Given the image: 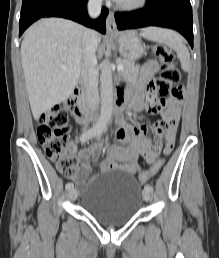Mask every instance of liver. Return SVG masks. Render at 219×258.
<instances>
[{
	"instance_id": "1",
	"label": "liver",
	"mask_w": 219,
	"mask_h": 258,
	"mask_svg": "<svg viewBox=\"0 0 219 258\" xmlns=\"http://www.w3.org/2000/svg\"><path fill=\"white\" fill-rule=\"evenodd\" d=\"M84 31L73 21L45 18L25 32L21 61L34 118L65 101L74 90L83 65ZM96 40L98 45L99 34ZM62 65L68 68L62 70Z\"/></svg>"
}]
</instances>
